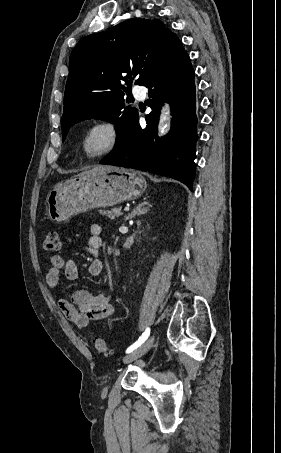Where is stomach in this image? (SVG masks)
<instances>
[{"instance_id": "stomach-1", "label": "stomach", "mask_w": 281, "mask_h": 453, "mask_svg": "<svg viewBox=\"0 0 281 453\" xmlns=\"http://www.w3.org/2000/svg\"><path fill=\"white\" fill-rule=\"evenodd\" d=\"M147 182L137 170L113 166L111 170L93 172L59 182L47 194V212L53 222H66L74 214L99 206H112L123 200L138 198Z\"/></svg>"}]
</instances>
